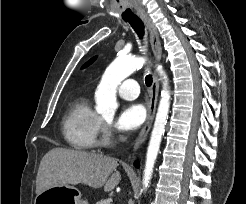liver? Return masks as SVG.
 <instances>
[{
    "label": "liver",
    "instance_id": "liver-1",
    "mask_svg": "<svg viewBox=\"0 0 246 204\" xmlns=\"http://www.w3.org/2000/svg\"><path fill=\"white\" fill-rule=\"evenodd\" d=\"M115 158L80 150L53 148L47 152L39 165L36 177L37 195L54 186L78 185L92 188L104 187L112 191L120 182Z\"/></svg>",
    "mask_w": 246,
    "mask_h": 204
}]
</instances>
